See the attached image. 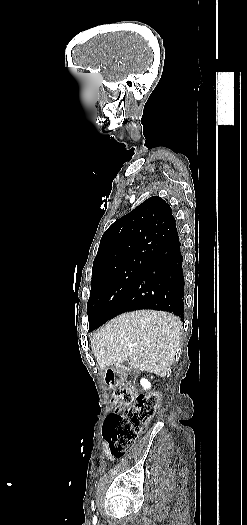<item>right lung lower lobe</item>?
Segmentation results:
<instances>
[{
	"label": "right lung lower lobe",
	"instance_id": "right-lung-lower-lobe-1",
	"mask_svg": "<svg viewBox=\"0 0 247 525\" xmlns=\"http://www.w3.org/2000/svg\"><path fill=\"white\" fill-rule=\"evenodd\" d=\"M147 258L145 268L119 304L116 315L137 309H153L173 312L183 319V257L178 233Z\"/></svg>",
	"mask_w": 247,
	"mask_h": 525
}]
</instances>
